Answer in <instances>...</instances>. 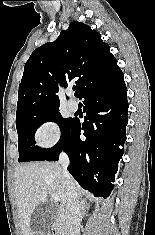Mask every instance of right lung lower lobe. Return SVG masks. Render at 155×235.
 Wrapping results in <instances>:
<instances>
[{
    "label": "right lung lower lobe",
    "instance_id": "obj_1",
    "mask_svg": "<svg viewBox=\"0 0 155 235\" xmlns=\"http://www.w3.org/2000/svg\"><path fill=\"white\" fill-rule=\"evenodd\" d=\"M123 76L119 69L82 91L78 97L84 98V122L74 119L64 143L45 159L57 161L64 150L70 159L68 171L95 197L110 195L123 155L128 123L127 88ZM81 130L85 131V140L80 139Z\"/></svg>",
    "mask_w": 155,
    "mask_h": 235
}]
</instances>
